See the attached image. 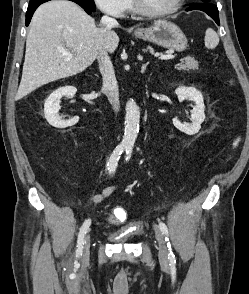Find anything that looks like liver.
I'll list each match as a JSON object with an SVG mask.
<instances>
[{"instance_id":"6515ba94","label":"liver","mask_w":249,"mask_h":294,"mask_svg":"<svg viewBox=\"0 0 249 294\" xmlns=\"http://www.w3.org/2000/svg\"><path fill=\"white\" fill-rule=\"evenodd\" d=\"M118 44L114 31L96 27L94 19L74 2L53 0L42 4L31 20L16 98L83 72L102 48L113 53ZM59 48L71 51L73 58L65 60Z\"/></svg>"}]
</instances>
